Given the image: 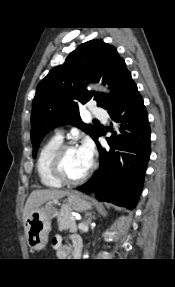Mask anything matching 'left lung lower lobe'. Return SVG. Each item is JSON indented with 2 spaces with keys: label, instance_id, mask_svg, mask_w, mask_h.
I'll list each match as a JSON object with an SVG mask.
<instances>
[{
  "label": "left lung lower lobe",
  "instance_id": "obj_1",
  "mask_svg": "<svg viewBox=\"0 0 175 287\" xmlns=\"http://www.w3.org/2000/svg\"><path fill=\"white\" fill-rule=\"evenodd\" d=\"M109 115L122 123L121 135L107 138L110 150L102 148L98 138L95 140L100 153L99 169L77 189L94 194L99 201L132 210L139 199L151 153L148 114L136 84L119 108Z\"/></svg>",
  "mask_w": 175,
  "mask_h": 287
}]
</instances>
